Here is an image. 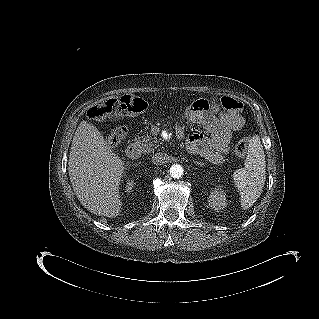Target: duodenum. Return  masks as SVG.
I'll return each instance as SVG.
<instances>
[{
    "label": "duodenum",
    "mask_w": 319,
    "mask_h": 319,
    "mask_svg": "<svg viewBox=\"0 0 319 319\" xmlns=\"http://www.w3.org/2000/svg\"><path fill=\"white\" fill-rule=\"evenodd\" d=\"M179 138L182 137V134H180L178 136ZM126 155L127 157H129L130 159H137L140 157L141 155V150H140V146L136 143H132L128 146L127 150H126Z\"/></svg>",
    "instance_id": "410a0bca"
}]
</instances>
